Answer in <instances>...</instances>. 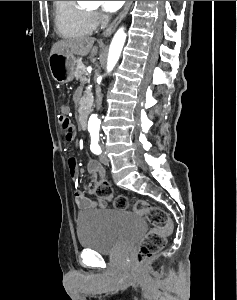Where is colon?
<instances>
[{"instance_id": "obj_1", "label": "colon", "mask_w": 237, "mask_h": 300, "mask_svg": "<svg viewBox=\"0 0 237 300\" xmlns=\"http://www.w3.org/2000/svg\"><path fill=\"white\" fill-rule=\"evenodd\" d=\"M59 126L66 140L73 141L75 130L66 115L62 114L59 117ZM96 195L101 199L110 200L114 208L118 210H126L129 207L128 198L123 195L114 196L112 187L106 180L100 181L96 188ZM133 211L138 215L145 216L152 225L150 231L140 241L136 251L137 262L144 263L163 249L171 232L172 223L164 210L151 206L145 200H137L133 205Z\"/></svg>"}]
</instances>
